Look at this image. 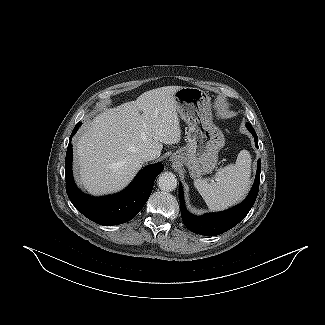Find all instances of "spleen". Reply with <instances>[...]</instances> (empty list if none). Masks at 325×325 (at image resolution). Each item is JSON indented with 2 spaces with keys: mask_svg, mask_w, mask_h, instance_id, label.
Wrapping results in <instances>:
<instances>
[{
  "mask_svg": "<svg viewBox=\"0 0 325 325\" xmlns=\"http://www.w3.org/2000/svg\"><path fill=\"white\" fill-rule=\"evenodd\" d=\"M251 156L247 150H241L234 164H229L217 171L216 181L196 179L194 186L214 211L222 210L248 193L250 189Z\"/></svg>",
  "mask_w": 325,
  "mask_h": 325,
  "instance_id": "obj_1",
  "label": "spleen"
}]
</instances>
